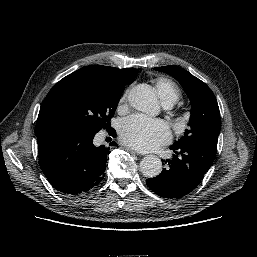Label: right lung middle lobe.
<instances>
[{
	"label": "right lung middle lobe",
	"mask_w": 257,
	"mask_h": 257,
	"mask_svg": "<svg viewBox=\"0 0 257 257\" xmlns=\"http://www.w3.org/2000/svg\"><path fill=\"white\" fill-rule=\"evenodd\" d=\"M136 74L137 69H126L119 83L86 73L64 77L55 85L49 99L52 123L58 128L99 132L110 123L125 86L134 81Z\"/></svg>",
	"instance_id": "right-lung-middle-lobe-1"
}]
</instances>
